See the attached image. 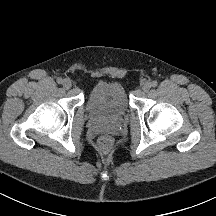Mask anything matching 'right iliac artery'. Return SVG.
I'll return each mask as SVG.
<instances>
[{
	"instance_id": "obj_1",
	"label": "right iliac artery",
	"mask_w": 216,
	"mask_h": 216,
	"mask_svg": "<svg viewBox=\"0 0 216 216\" xmlns=\"http://www.w3.org/2000/svg\"><path fill=\"white\" fill-rule=\"evenodd\" d=\"M57 83H58V84H62V83H63V79H62V78H58V79H57Z\"/></svg>"
}]
</instances>
